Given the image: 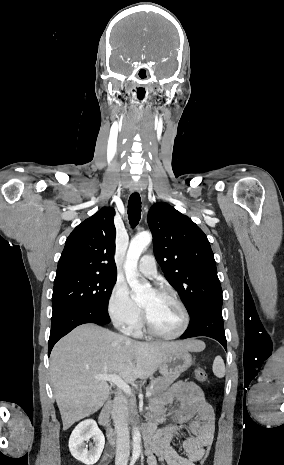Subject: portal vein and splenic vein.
<instances>
[{
  "mask_svg": "<svg viewBox=\"0 0 284 465\" xmlns=\"http://www.w3.org/2000/svg\"><path fill=\"white\" fill-rule=\"evenodd\" d=\"M94 379H99V381H109V383H114V385H117L119 389H122L126 395H132L131 389L129 385H126L124 381H122L121 377L119 375H95ZM152 393L150 391H147L146 397H151Z\"/></svg>",
  "mask_w": 284,
  "mask_h": 465,
  "instance_id": "1",
  "label": "portal vein and splenic vein"
}]
</instances>
